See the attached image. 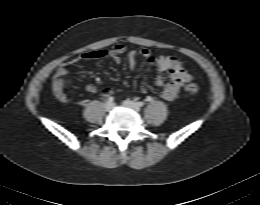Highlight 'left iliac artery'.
Masks as SVG:
<instances>
[{
  "label": "left iliac artery",
  "instance_id": "obj_1",
  "mask_svg": "<svg viewBox=\"0 0 260 205\" xmlns=\"http://www.w3.org/2000/svg\"><path fill=\"white\" fill-rule=\"evenodd\" d=\"M148 100H151V98H148ZM137 104H138L139 107H142L144 105L143 102H137Z\"/></svg>",
  "mask_w": 260,
  "mask_h": 205
}]
</instances>
